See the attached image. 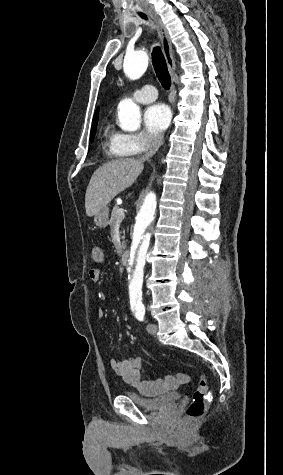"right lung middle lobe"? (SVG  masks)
Returning a JSON list of instances; mask_svg holds the SVG:
<instances>
[{
    "label": "right lung middle lobe",
    "instance_id": "dd1d6c3e",
    "mask_svg": "<svg viewBox=\"0 0 283 475\" xmlns=\"http://www.w3.org/2000/svg\"><path fill=\"white\" fill-rule=\"evenodd\" d=\"M98 108L94 114V118H93V123H92V128H91V135H90V140L93 141L94 139V136H95V131H96V126H97V121H98Z\"/></svg>",
    "mask_w": 283,
    "mask_h": 475
}]
</instances>
